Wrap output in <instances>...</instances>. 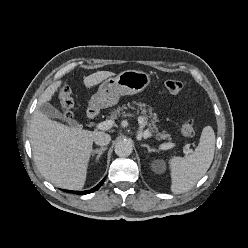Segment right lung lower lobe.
I'll return each mask as SVG.
<instances>
[{"instance_id":"98d812e1","label":"right lung lower lobe","mask_w":248,"mask_h":248,"mask_svg":"<svg viewBox=\"0 0 248 248\" xmlns=\"http://www.w3.org/2000/svg\"><path fill=\"white\" fill-rule=\"evenodd\" d=\"M105 179H103L96 187H94L93 189H91L90 191L89 190H86V191H70L71 193H76V194H89V193H92L94 191H97L101 186L102 184L104 183ZM67 192L69 190H66Z\"/></svg>"}]
</instances>
